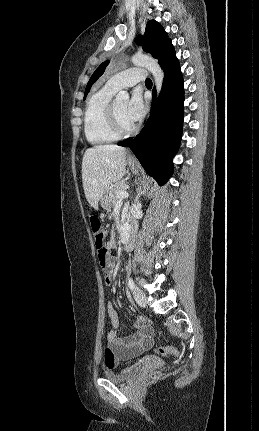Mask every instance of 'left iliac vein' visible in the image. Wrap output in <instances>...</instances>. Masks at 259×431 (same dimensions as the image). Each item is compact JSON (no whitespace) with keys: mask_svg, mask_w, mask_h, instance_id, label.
Wrapping results in <instances>:
<instances>
[{"mask_svg":"<svg viewBox=\"0 0 259 431\" xmlns=\"http://www.w3.org/2000/svg\"><path fill=\"white\" fill-rule=\"evenodd\" d=\"M133 296L139 306L144 307L146 305V295L141 289H139L138 287H134Z\"/></svg>","mask_w":259,"mask_h":431,"instance_id":"obj_1","label":"left iliac vein"}]
</instances>
